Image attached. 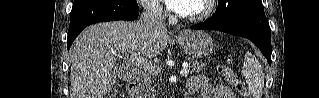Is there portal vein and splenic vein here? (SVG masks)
<instances>
[{"instance_id": "obj_1", "label": "portal vein and splenic vein", "mask_w": 319, "mask_h": 98, "mask_svg": "<svg viewBox=\"0 0 319 98\" xmlns=\"http://www.w3.org/2000/svg\"><path fill=\"white\" fill-rule=\"evenodd\" d=\"M132 64L136 67L149 72L150 74H155L158 67L154 66L151 62L147 61L145 58L141 57L139 53H130ZM189 73L188 66H183L180 71L181 76L186 77Z\"/></svg>"}]
</instances>
